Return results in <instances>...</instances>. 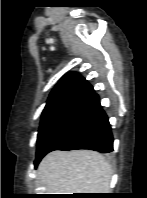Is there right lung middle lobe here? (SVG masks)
Listing matches in <instances>:
<instances>
[{
    "label": "right lung middle lobe",
    "instance_id": "right-lung-middle-lobe-1",
    "mask_svg": "<svg viewBox=\"0 0 147 198\" xmlns=\"http://www.w3.org/2000/svg\"><path fill=\"white\" fill-rule=\"evenodd\" d=\"M72 108L73 106H53L43 110L37 138V153L44 141L61 124Z\"/></svg>",
    "mask_w": 147,
    "mask_h": 198
}]
</instances>
